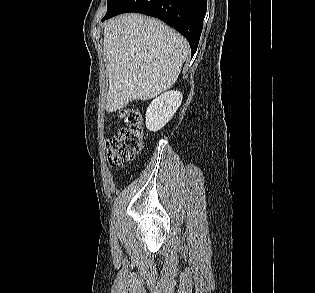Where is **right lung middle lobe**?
Here are the masks:
<instances>
[{
	"mask_svg": "<svg viewBox=\"0 0 315 293\" xmlns=\"http://www.w3.org/2000/svg\"><path fill=\"white\" fill-rule=\"evenodd\" d=\"M112 2V0H107V4L109 6V4Z\"/></svg>",
	"mask_w": 315,
	"mask_h": 293,
	"instance_id": "1",
	"label": "right lung middle lobe"
}]
</instances>
